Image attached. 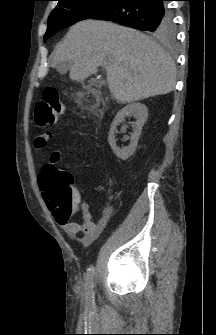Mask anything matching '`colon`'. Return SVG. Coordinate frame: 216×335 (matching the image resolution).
Listing matches in <instances>:
<instances>
[{
    "label": "colon",
    "instance_id": "obj_1",
    "mask_svg": "<svg viewBox=\"0 0 216 335\" xmlns=\"http://www.w3.org/2000/svg\"><path fill=\"white\" fill-rule=\"evenodd\" d=\"M64 110L65 106L60 99L58 91L53 87L46 88L41 99L35 105V125L38 128L53 125ZM71 183L72 174L69 171H59L58 169L54 171V177L49 183L50 194L57 204L64 208L65 219L70 215L74 204Z\"/></svg>",
    "mask_w": 216,
    "mask_h": 335
}]
</instances>
